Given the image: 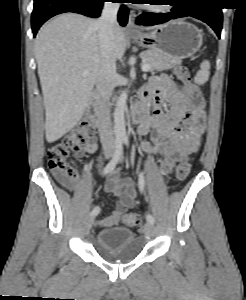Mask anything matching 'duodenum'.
<instances>
[{"label": "duodenum", "instance_id": "1", "mask_svg": "<svg viewBox=\"0 0 246 300\" xmlns=\"http://www.w3.org/2000/svg\"><path fill=\"white\" fill-rule=\"evenodd\" d=\"M149 112L148 105L142 100L136 101L132 108L131 120L132 124L140 125ZM86 114L90 121L98 129H103L105 126L106 111L101 103V93L96 91L89 99L86 106Z\"/></svg>", "mask_w": 246, "mask_h": 300}]
</instances>
